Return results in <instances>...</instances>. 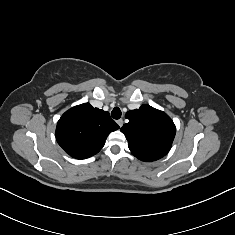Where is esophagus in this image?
<instances>
[{
  "label": "esophagus",
  "instance_id": "obj_1",
  "mask_svg": "<svg viewBox=\"0 0 235 235\" xmlns=\"http://www.w3.org/2000/svg\"><path fill=\"white\" fill-rule=\"evenodd\" d=\"M117 124L119 125V127H122L123 126V119L117 120Z\"/></svg>",
  "mask_w": 235,
  "mask_h": 235
}]
</instances>
